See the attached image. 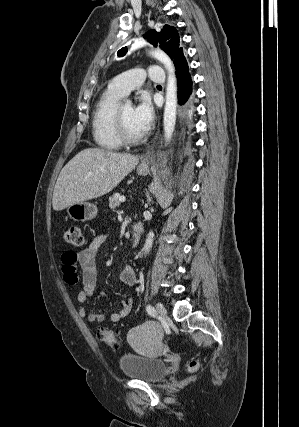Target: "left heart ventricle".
<instances>
[{
	"mask_svg": "<svg viewBox=\"0 0 299 427\" xmlns=\"http://www.w3.org/2000/svg\"><path fill=\"white\" fill-rule=\"evenodd\" d=\"M122 115H123L125 127L129 132V134H131L132 136H137L143 133L135 123V120L133 117V107L131 105L123 104Z\"/></svg>",
	"mask_w": 299,
	"mask_h": 427,
	"instance_id": "1",
	"label": "left heart ventricle"
}]
</instances>
